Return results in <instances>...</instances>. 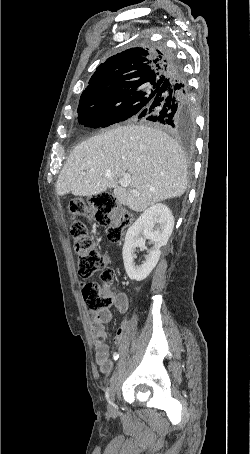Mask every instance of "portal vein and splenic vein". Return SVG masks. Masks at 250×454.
I'll return each instance as SVG.
<instances>
[{"mask_svg": "<svg viewBox=\"0 0 250 454\" xmlns=\"http://www.w3.org/2000/svg\"><path fill=\"white\" fill-rule=\"evenodd\" d=\"M130 181H131L130 175H125L120 181L121 187H127L129 185ZM131 192L135 193L134 190Z\"/></svg>", "mask_w": 250, "mask_h": 454, "instance_id": "18ae733b", "label": "portal vein and splenic vein"}]
</instances>
